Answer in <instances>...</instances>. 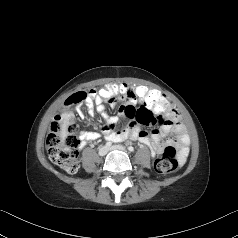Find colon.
I'll return each instance as SVG.
<instances>
[{"instance_id": "colon-1", "label": "colon", "mask_w": 238, "mask_h": 238, "mask_svg": "<svg viewBox=\"0 0 238 238\" xmlns=\"http://www.w3.org/2000/svg\"><path fill=\"white\" fill-rule=\"evenodd\" d=\"M93 91L98 94L100 103H118L119 95H124L128 91V85L124 81L107 86H93ZM137 98L146 99V104L150 110L156 112L157 121L173 112L172 107L166 101V95L144 84H139L134 90ZM87 93L80 91L67 98L65 104L72 107L79 104L86 98ZM77 127L74 124V116H64L58 114L51 125L50 133L46 139L48 156L50 160L68 173H75L79 168L78 146L79 139L76 135ZM179 165V157L173 146H167L162 155L155 161V169L158 173L165 174L174 171Z\"/></svg>"}]
</instances>
